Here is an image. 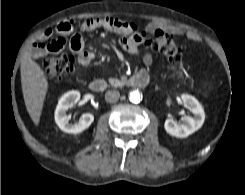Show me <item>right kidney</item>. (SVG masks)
<instances>
[{
	"mask_svg": "<svg viewBox=\"0 0 245 195\" xmlns=\"http://www.w3.org/2000/svg\"><path fill=\"white\" fill-rule=\"evenodd\" d=\"M80 99L79 91H69L65 93L57 104L55 110V122L59 128L66 133L78 134L87 129L94 121V116L91 113L82 114L78 122L69 123L67 110L75 105Z\"/></svg>",
	"mask_w": 245,
	"mask_h": 195,
	"instance_id": "1",
	"label": "right kidney"
}]
</instances>
